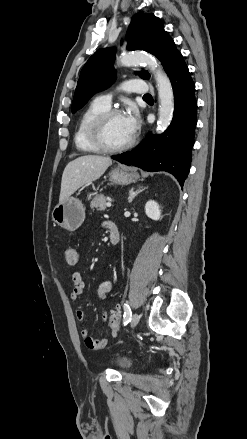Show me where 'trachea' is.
I'll return each instance as SVG.
<instances>
[{
    "label": "trachea",
    "instance_id": "1",
    "mask_svg": "<svg viewBox=\"0 0 247 439\" xmlns=\"http://www.w3.org/2000/svg\"><path fill=\"white\" fill-rule=\"evenodd\" d=\"M143 97L144 98H152V96L150 94H145Z\"/></svg>",
    "mask_w": 247,
    "mask_h": 439
}]
</instances>
